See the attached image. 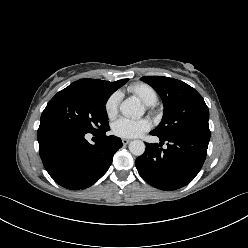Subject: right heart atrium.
Here are the masks:
<instances>
[{"label":"right heart atrium","instance_id":"right-heart-atrium-1","mask_svg":"<svg viewBox=\"0 0 248 248\" xmlns=\"http://www.w3.org/2000/svg\"><path fill=\"white\" fill-rule=\"evenodd\" d=\"M119 102H120L119 92H114L107 98L104 105V109L108 118L113 119L117 115Z\"/></svg>","mask_w":248,"mask_h":248}]
</instances>
